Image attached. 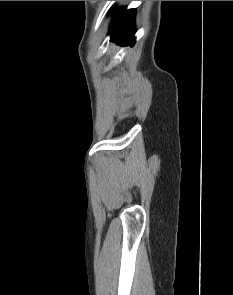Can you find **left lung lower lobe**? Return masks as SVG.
I'll return each instance as SVG.
<instances>
[{"label":"left lung lower lobe","instance_id":"0a47b994","mask_svg":"<svg viewBox=\"0 0 233 295\" xmlns=\"http://www.w3.org/2000/svg\"><path fill=\"white\" fill-rule=\"evenodd\" d=\"M135 9L126 10L122 8L115 12L110 26V40L122 46L135 44L134 33Z\"/></svg>","mask_w":233,"mask_h":295}]
</instances>
